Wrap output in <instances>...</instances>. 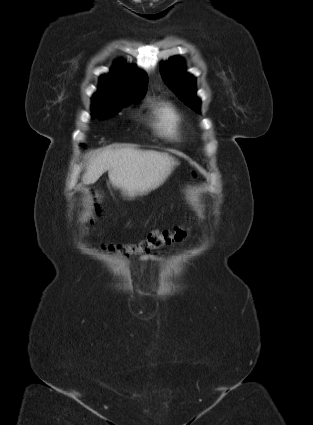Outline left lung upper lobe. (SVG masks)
<instances>
[{"instance_id":"obj_1","label":"left lung upper lobe","mask_w":313,"mask_h":425,"mask_svg":"<svg viewBox=\"0 0 313 425\" xmlns=\"http://www.w3.org/2000/svg\"><path fill=\"white\" fill-rule=\"evenodd\" d=\"M161 75L165 83L191 109L200 112V99L196 96L195 78L185 70L184 62L174 57L160 66Z\"/></svg>"}]
</instances>
